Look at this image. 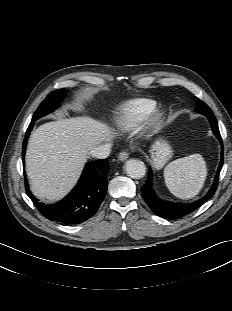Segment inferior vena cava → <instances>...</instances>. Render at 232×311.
Wrapping results in <instances>:
<instances>
[{"label": "inferior vena cava", "instance_id": "inferior-vena-cava-1", "mask_svg": "<svg viewBox=\"0 0 232 311\" xmlns=\"http://www.w3.org/2000/svg\"><path fill=\"white\" fill-rule=\"evenodd\" d=\"M110 150V144H102L92 149L90 155L96 159H105L109 156Z\"/></svg>", "mask_w": 232, "mask_h": 311}]
</instances>
